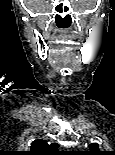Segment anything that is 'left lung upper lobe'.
Here are the masks:
<instances>
[{"instance_id":"obj_1","label":"left lung upper lobe","mask_w":115,"mask_h":155,"mask_svg":"<svg viewBox=\"0 0 115 155\" xmlns=\"http://www.w3.org/2000/svg\"><path fill=\"white\" fill-rule=\"evenodd\" d=\"M90 154L89 155H103L99 149H98V144L97 143H92L90 144Z\"/></svg>"}]
</instances>
